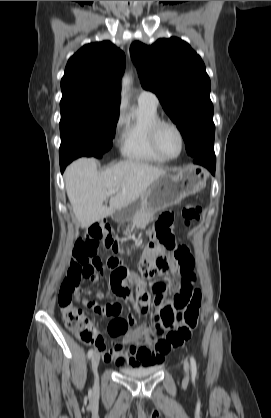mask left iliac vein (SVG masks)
Here are the masks:
<instances>
[{
	"instance_id": "left-iliac-vein-1",
	"label": "left iliac vein",
	"mask_w": 271,
	"mask_h": 418,
	"mask_svg": "<svg viewBox=\"0 0 271 418\" xmlns=\"http://www.w3.org/2000/svg\"><path fill=\"white\" fill-rule=\"evenodd\" d=\"M184 371H185V374L188 375V372H189V364H188V362L186 360L184 361Z\"/></svg>"
}]
</instances>
